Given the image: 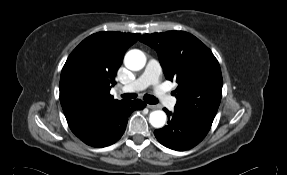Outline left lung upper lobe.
I'll return each instance as SVG.
<instances>
[{"instance_id":"obj_1","label":"left lung upper lobe","mask_w":287,"mask_h":175,"mask_svg":"<svg viewBox=\"0 0 287 175\" xmlns=\"http://www.w3.org/2000/svg\"><path fill=\"white\" fill-rule=\"evenodd\" d=\"M140 41L157 51L165 77L178 83L174 111L208 133L223 85L220 65L211 50L184 31L144 34Z\"/></svg>"}]
</instances>
